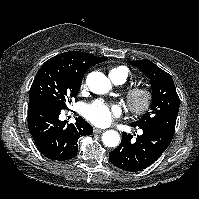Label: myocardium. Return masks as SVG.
Here are the masks:
<instances>
[{"instance_id":"obj_1","label":"myocardium","mask_w":199,"mask_h":199,"mask_svg":"<svg viewBox=\"0 0 199 199\" xmlns=\"http://www.w3.org/2000/svg\"><path fill=\"white\" fill-rule=\"evenodd\" d=\"M153 102V91L147 85H136L126 92V105L129 111L136 115L146 114Z\"/></svg>"}]
</instances>
